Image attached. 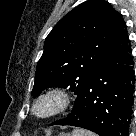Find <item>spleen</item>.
<instances>
[{"instance_id":"spleen-1","label":"spleen","mask_w":136,"mask_h":136,"mask_svg":"<svg viewBox=\"0 0 136 136\" xmlns=\"http://www.w3.org/2000/svg\"><path fill=\"white\" fill-rule=\"evenodd\" d=\"M73 136H96V135L84 130H75L73 132Z\"/></svg>"}]
</instances>
